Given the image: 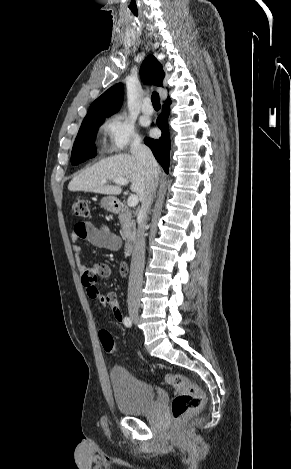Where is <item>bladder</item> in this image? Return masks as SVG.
<instances>
[{
    "mask_svg": "<svg viewBox=\"0 0 291 469\" xmlns=\"http://www.w3.org/2000/svg\"><path fill=\"white\" fill-rule=\"evenodd\" d=\"M109 379L116 407L121 414L137 416L151 410L155 393L150 384L121 366L111 368Z\"/></svg>",
    "mask_w": 291,
    "mask_h": 469,
    "instance_id": "31cf9c89",
    "label": "bladder"
}]
</instances>
